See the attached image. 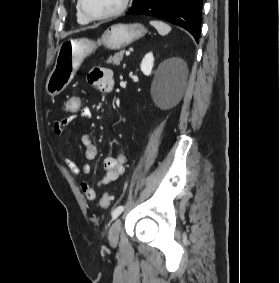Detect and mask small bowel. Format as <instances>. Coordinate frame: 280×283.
Segmentation results:
<instances>
[{"label":"small bowel","mask_w":280,"mask_h":283,"mask_svg":"<svg viewBox=\"0 0 280 283\" xmlns=\"http://www.w3.org/2000/svg\"><path fill=\"white\" fill-rule=\"evenodd\" d=\"M88 79L91 84L97 86L103 91H108L113 83L112 71L108 68H98L92 71ZM69 114H78L81 118H89L91 111L87 107H82L81 112H67ZM75 117L66 116L53 123V130L55 133H62L65 126L73 122ZM81 144L84 147V157L87 161H93L97 156V148L94 144L91 133L83 132L80 137ZM128 161L127 156L124 153H118L116 156L106 157L102 161V170L104 172L103 177L97 182L98 187L106 186L120 177L125 172V165ZM66 167L75 175H87L90 172V165L88 163L78 164L72 159H64ZM80 188L85 197L88 200L96 199V189L90 185L87 181L80 183Z\"/></svg>","instance_id":"small-bowel-1"}]
</instances>
